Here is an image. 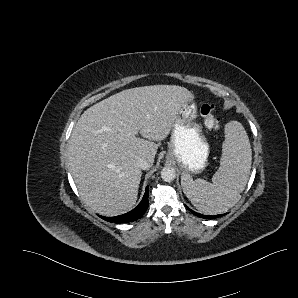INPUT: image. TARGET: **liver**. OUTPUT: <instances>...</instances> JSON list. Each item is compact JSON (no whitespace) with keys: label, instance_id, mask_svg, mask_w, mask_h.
I'll use <instances>...</instances> for the list:
<instances>
[{"label":"liver","instance_id":"liver-1","mask_svg":"<svg viewBox=\"0 0 298 298\" xmlns=\"http://www.w3.org/2000/svg\"><path fill=\"white\" fill-rule=\"evenodd\" d=\"M193 98L184 86L153 84L122 90L85 110L68 148L82 201L103 216L130 211L142 175L137 160L154 162L155 141L168 136L180 105Z\"/></svg>","mask_w":298,"mask_h":298}]
</instances>
